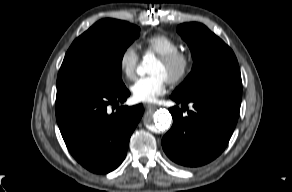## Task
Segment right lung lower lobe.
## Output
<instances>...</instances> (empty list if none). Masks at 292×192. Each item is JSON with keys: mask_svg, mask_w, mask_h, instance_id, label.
<instances>
[{"mask_svg": "<svg viewBox=\"0 0 292 192\" xmlns=\"http://www.w3.org/2000/svg\"><path fill=\"white\" fill-rule=\"evenodd\" d=\"M130 92L124 86L108 91L90 83H57L56 119L72 156L86 169L105 174L124 160L130 136L143 115V106H121Z\"/></svg>", "mask_w": 292, "mask_h": 192, "instance_id": "1", "label": "right lung lower lobe"}]
</instances>
